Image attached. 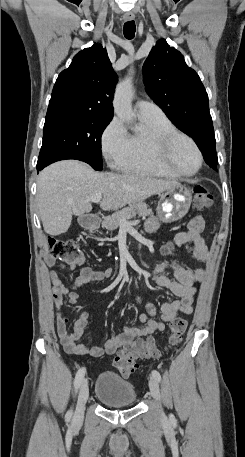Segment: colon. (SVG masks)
Segmentation results:
<instances>
[{
    "label": "colon",
    "instance_id": "1",
    "mask_svg": "<svg viewBox=\"0 0 245 457\" xmlns=\"http://www.w3.org/2000/svg\"><path fill=\"white\" fill-rule=\"evenodd\" d=\"M194 201L197 208L204 209L213 203V196L205 186L199 185L194 189ZM48 245L50 255L54 258L78 262L83 259L78 244L73 240L49 236ZM171 250V245H166L163 248L165 254L170 253ZM187 327L188 321L185 318L173 319L167 331V346L176 345L183 337ZM161 352L162 348L154 338L137 339L127 343L118 351L114 357L113 365L121 376L128 377L137 369L136 361L138 359L156 358Z\"/></svg>",
    "mask_w": 245,
    "mask_h": 457
}]
</instances>
